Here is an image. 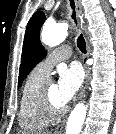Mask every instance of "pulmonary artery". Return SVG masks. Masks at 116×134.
Returning a JSON list of instances; mask_svg holds the SVG:
<instances>
[{
  "instance_id": "e3ab8cb5",
  "label": "pulmonary artery",
  "mask_w": 116,
  "mask_h": 134,
  "mask_svg": "<svg viewBox=\"0 0 116 134\" xmlns=\"http://www.w3.org/2000/svg\"><path fill=\"white\" fill-rule=\"evenodd\" d=\"M72 55V50L69 46H61L54 50L45 60L40 62L37 65V69L43 73L48 75L51 68L60 61L68 59Z\"/></svg>"
}]
</instances>
